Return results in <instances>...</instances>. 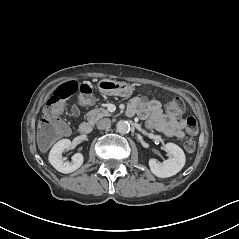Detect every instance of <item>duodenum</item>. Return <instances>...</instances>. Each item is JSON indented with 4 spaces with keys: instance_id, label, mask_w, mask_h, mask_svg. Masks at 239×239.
I'll use <instances>...</instances> for the list:
<instances>
[{
    "instance_id": "1",
    "label": "duodenum",
    "mask_w": 239,
    "mask_h": 239,
    "mask_svg": "<svg viewBox=\"0 0 239 239\" xmlns=\"http://www.w3.org/2000/svg\"><path fill=\"white\" fill-rule=\"evenodd\" d=\"M92 125L89 122H83L79 125L78 131L81 135H87L91 132Z\"/></svg>"
}]
</instances>
